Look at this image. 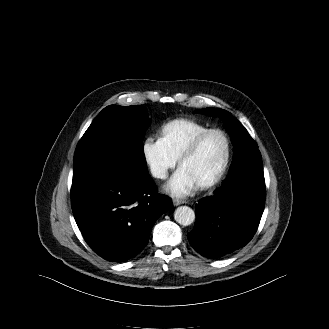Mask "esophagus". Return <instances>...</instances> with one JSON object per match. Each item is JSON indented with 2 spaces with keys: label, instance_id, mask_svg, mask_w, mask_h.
<instances>
[{
  "label": "esophagus",
  "instance_id": "1",
  "mask_svg": "<svg viewBox=\"0 0 329 329\" xmlns=\"http://www.w3.org/2000/svg\"><path fill=\"white\" fill-rule=\"evenodd\" d=\"M184 203H186V201L179 200V199H173V205L174 206H178V205L184 204Z\"/></svg>",
  "mask_w": 329,
  "mask_h": 329
}]
</instances>
